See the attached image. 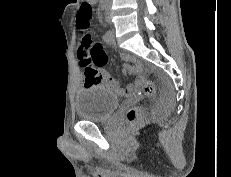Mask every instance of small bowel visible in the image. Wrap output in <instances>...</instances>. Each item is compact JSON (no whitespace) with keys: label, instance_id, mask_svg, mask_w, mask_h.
Instances as JSON below:
<instances>
[{"label":"small bowel","instance_id":"1","mask_svg":"<svg viewBox=\"0 0 231 177\" xmlns=\"http://www.w3.org/2000/svg\"><path fill=\"white\" fill-rule=\"evenodd\" d=\"M95 2L96 1H93V0H87L85 3H88L92 6ZM104 41L106 43H112L113 42V35L111 33H108L105 36ZM121 58L123 60L131 62V64H124L123 65V72L137 75V78L133 83L129 84L126 88H122L120 86L119 81L117 79L113 78L108 70L100 68L97 70V77L96 78L87 79L85 77V79H84L85 85H87V86H89V85H104V86L108 87L109 89L114 90L115 92H117L120 95L135 94L145 80L144 75H143V66L139 61H137L135 58H133L130 55L122 54ZM100 66H102V65H100Z\"/></svg>","mask_w":231,"mask_h":177}]
</instances>
